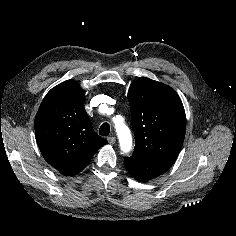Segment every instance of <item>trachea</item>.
<instances>
[{
	"instance_id": "trachea-1",
	"label": "trachea",
	"mask_w": 236,
	"mask_h": 236,
	"mask_svg": "<svg viewBox=\"0 0 236 236\" xmlns=\"http://www.w3.org/2000/svg\"><path fill=\"white\" fill-rule=\"evenodd\" d=\"M110 133V126L108 123H103L101 126H100V129H99V134L101 136H108Z\"/></svg>"
}]
</instances>
